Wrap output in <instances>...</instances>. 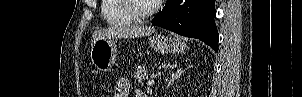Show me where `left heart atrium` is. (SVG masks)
<instances>
[{"mask_svg": "<svg viewBox=\"0 0 302 97\" xmlns=\"http://www.w3.org/2000/svg\"><path fill=\"white\" fill-rule=\"evenodd\" d=\"M150 1H151V3H153V4H159V3L162 2V0H150Z\"/></svg>", "mask_w": 302, "mask_h": 97, "instance_id": "39dd6f15", "label": "left heart atrium"}]
</instances>
